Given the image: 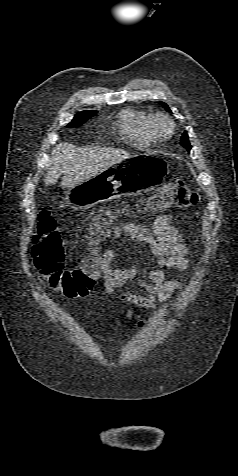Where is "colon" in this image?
Wrapping results in <instances>:
<instances>
[{"label":"colon","instance_id":"5ec220e1","mask_svg":"<svg viewBox=\"0 0 238 476\" xmlns=\"http://www.w3.org/2000/svg\"><path fill=\"white\" fill-rule=\"evenodd\" d=\"M197 192L183 180L167 182L160 192L141 206L143 210L162 211L171 208H188L198 203ZM109 213L99 215L90 225V235L100 239L110 222ZM34 264L47 284L64 294H73L93 289L98 269L92 264L65 268L66 253L56 220L48 211H41L33 238Z\"/></svg>","mask_w":238,"mask_h":476}]
</instances>
